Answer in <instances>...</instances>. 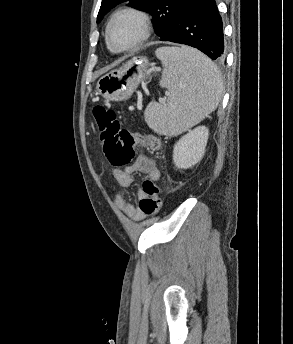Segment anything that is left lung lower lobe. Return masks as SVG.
<instances>
[{
  "label": "left lung lower lobe",
  "instance_id": "obj_1",
  "mask_svg": "<svg viewBox=\"0 0 293 344\" xmlns=\"http://www.w3.org/2000/svg\"><path fill=\"white\" fill-rule=\"evenodd\" d=\"M160 40L189 45L213 60H222V19L215 0H188L175 24Z\"/></svg>",
  "mask_w": 293,
  "mask_h": 344
}]
</instances>
